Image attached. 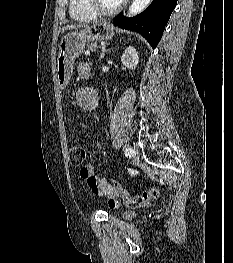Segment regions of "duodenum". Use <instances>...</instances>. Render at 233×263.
<instances>
[{
    "label": "duodenum",
    "mask_w": 233,
    "mask_h": 263,
    "mask_svg": "<svg viewBox=\"0 0 233 263\" xmlns=\"http://www.w3.org/2000/svg\"><path fill=\"white\" fill-rule=\"evenodd\" d=\"M90 76V73H85V74H83V78H85V79H87L88 77Z\"/></svg>",
    "instance_id": "obj_1"
}]
</instances>
